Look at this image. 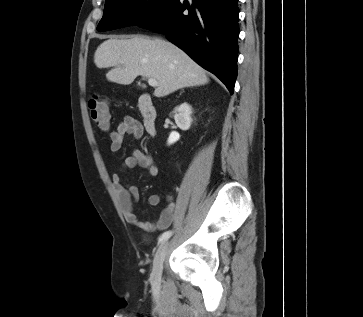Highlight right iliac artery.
<instances>
[{
	"instance_id": "1",
	"label": "right iliac artery",
	"mask_w": 363,
	"mask_h": 317,
	"mask_svg": "<svg viewBox=\"0 0 363 317\" xmlns=\"http://www.w3.org/2000/svg\"><path fill=\"white\" fill-rule=\"evenodd\" d=\"M172 235V231H166L164 232L160 237H159V243L164 242L165 240H167L168 238H170Z\"/></svg>"
}]
</instances>
